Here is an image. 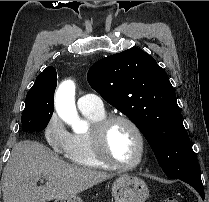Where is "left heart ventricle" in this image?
Listing matches in <instances>:
<instances>
[{"label":"left heart ventricle","mask_w":209,"mask_h":202,"mask_svg":"<svg viewBox=\"0 0 209 202\" xmlns=\"http://www.w3.org/2000/svg\"><path fill=\"white\" fill-rule=\"evenodd\" d=\"M109 155L124 165L136 162L139 155V140L133 129L126 123L117 122L111 126L106 138Z\"/></svg>","instance_id":"obj_1"}]
</instances>
